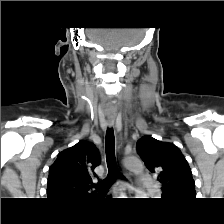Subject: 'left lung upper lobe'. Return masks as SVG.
Wrapping results in <instances>:
<instances>
[{
  "label": "left lung upper lobe",
  "instance_id": "obj_1",
  "mask_svg": "<svg viewBox=\"0 0 224 224\" xmlns=\"http://www.w3.org/2000/svg\"><path fill=\"white\" fill-rule=\"evenodd\" d=\"M137 152L152 173H158L162 196L195 198L191 169L177 146L144 136L137 142Z\"/></svg>",
  "mask_w": 224,
  "mask_h": 224
}]
</instances>
